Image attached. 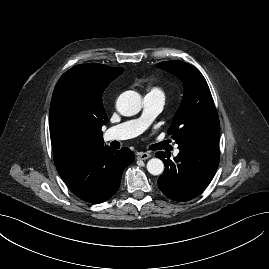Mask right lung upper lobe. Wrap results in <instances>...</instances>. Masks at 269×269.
<instances>
[{"mask_svg":"<svg viewBox=\"0 0 269 269\" xmlns=\"http://www.w3.org/2000/svg\"><path fill=\"white\" fill-rule=\"evenodd\" d=\"M123 68L89 63L75 66L58 80L51 99L49 124L54 162L58 166L80 154L103 147L101 128L107 122L102 94ZM64 118L85 130L78 143L65 146L59 139Z\"/></svg>","mask_w":269,"mask_h":269,"instance_id":"right-lung-upper-lobe-1","label":"right lung upper lobe"}]
</instances>
